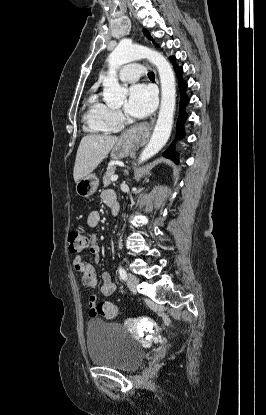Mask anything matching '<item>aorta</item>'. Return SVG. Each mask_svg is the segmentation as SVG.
Segmentation results:
<instances>
[{
    "label": "aorta",
    "mask_w": 266,
    "mask_h": 415,
    "mask_svg": "<svg viewBox=\"0 0 266 415\" xmlns=\"http://www.w3.org/2000/svg\"><path fill=\"white\" fill-rule=\"evenodd\" d=\"M148 59L159 73L161 83V105L151 139L139 157V163L158 153L168 141L176 105L175 75L170 63L157 51L141 45L121 42L108 57V73L103 79L104 100L110 106L123 104L127 90L119 85L117 70L131 61Z\"/></svg>",
    "instance_id": "762f6f07"
}]
</instances>
